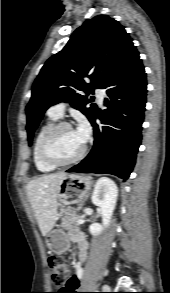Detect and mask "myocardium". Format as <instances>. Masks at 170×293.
Wrapping results in <instances>:
<instances>
[{
	"instance_id": "1",
	"label": "myocardium",
	"mask_w": 170,
	"mask_h": 293,
	"mask_svg": "<svg viewBox=\"0 0 170 293\" xmlns=\"http://www.w3.org/2000/svg\"><path fill=\"white\" fill-rule=\"evenodd\" d=\"M62 128L73 129L72 125L68 122H65V121L57 122L46 131V133L43 135L41 139L40 146H39V155L42 161L54 167L66 166V165L79 161L85 155L87 150L86 143L84 142L81 151L77 155H75L74 157L68 160H58L52 157L51 154L49 153V145L53 137L55 136V134Z\"/></svg>"
}]
</instances>
